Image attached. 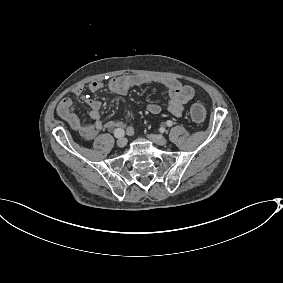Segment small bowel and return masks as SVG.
Returning <instances> with one entry per match:
<instances>
[{"instance_id": "1", "label": "small bowel", "mask_w": 283, "mask_h": 283, "mask_svg": "<svg viewBox=\"0 0 283 283\" xmlns=\"http://www.w3.org/2000/svg\"><path fill=\"white\" fill-rule=\"evenodd\" d=\"M143 84H160L168 93L169 102L167 110L175 117H180L183 113L184 106L194 96V89L190 85H184L175 78H160L143 76L137 74H124L112 78L108 82L110 92L117 96H124L131 87L140 86ZM104 86L100 80L92 81L87 88L84 85H78L74 88L73 93L81 99L88 106V116L93 120V123L85 122L76 112L74 103L70 98H63L57 106V113L60 118L68 123V125L77 131L81 138L85 141L92 140L99 132L108 129L116 130L123 129L126 134L131 135L134 129L131 125L122 121L101 119V102L96 99L89 98L85 91L97 92ZM147 110L151 114H159L161 112L160 105L150 103L147 105Z\"/></svg>"}]
</instances>
